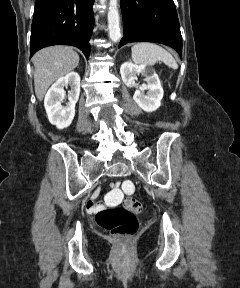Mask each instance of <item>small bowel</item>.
I'll return each mask as SVG.
<instances>
[{"instance_id":"c3829d8e","label":"small bowel","mask_w":240,"mask_h":288,"mask_svg":"<svg viewBox=\"0 0 240 288\" xmlns=\"http://www.w3.org/2000/svg\"><path fill=\"white\" fill-rule=\"evenodd\" d=\"M91 210L95 209V207L91 204L89 207Z\"/></svg>"}]
</instances>
